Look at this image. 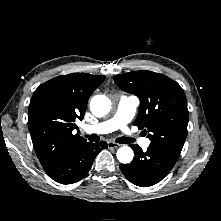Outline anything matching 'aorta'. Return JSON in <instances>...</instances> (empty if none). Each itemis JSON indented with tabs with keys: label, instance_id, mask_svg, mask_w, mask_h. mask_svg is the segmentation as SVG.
<instances>
[{
	"label": "aorta",
	"instance_id": "obj_1",
	"mask_svg": "<svg viewBox=\"0 0 221 221\" xmlns=\"http://www.w3.org/2000/svg\"><path fill=\"white\" fill-rule=\"evenodd\" d=\"M90 110L96 117H105L111 111V100L105 95H96L90 101ZM117 159L122 164H128L133 160V150L128 146H122L117 150Z\"/></svg>",
	"mask_w": 221,
	"mask_h": 221
}]
</instances>
